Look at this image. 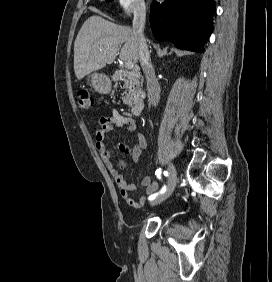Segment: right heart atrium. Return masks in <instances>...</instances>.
<instances>
[{
	"label": "right heart atrium",
	"mask_w": 272,
	"mask_h": 282,
	"mask_svg": "<svg viewBox=\"0 0 272 282\" xmlns=\"http://www.w3.org/2000/svg\"><path fill=\"white\" fill-rule=\"evenodd\" d=\"M144 10V0H117L116 2V11L124 17L138 14Z\"/></svg>",
	"instance_id": "obj_1"
}]
</instances>
